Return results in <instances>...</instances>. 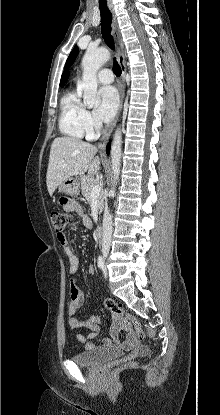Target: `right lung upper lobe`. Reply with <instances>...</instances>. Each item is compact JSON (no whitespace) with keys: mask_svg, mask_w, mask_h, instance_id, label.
<instances>
[{"mask_svg":"<svg viewBox=\"0 0 220 415\" xmlns=\"http://www.w3.org/2000/svg\"><path fill=\"white\" fill-rule=\"evenodd\" d=\"M68 76H69V72L64 71L61 77L60 85H63L67 81Z\"/></svg>","mask_w":220,"mask_h":415,"instance_id":"1","label":"right lung upper lobe"}]
</instances>
